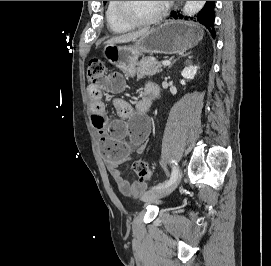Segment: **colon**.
I'll use <instances>...</instances> for the list:
<instances>
[{
    "mask_svg": "<svg viewBox=\"0 0 271 266\" xmlns=\"http://www.w3.org/2000/svg\"><path fill=\"white\" fill-rule=\"evenodd\" d=\"M105 72V65L103 61L97 57L92 58L89 61L87 69V77L89 80H95L101 77ZM132 170L138 179L145 182L150 179L151 171L146 162L138 160L132 164Z\"/></svg>",
    "mask_w": 271,
    "mask_h": 266,
    "instance_id": "colon-1",
    "label": "colon"
}]
</instances>
